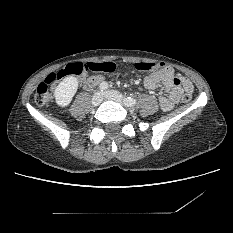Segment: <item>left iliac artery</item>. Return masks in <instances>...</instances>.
Instances as JSON below:
<instances>
[{"label": "left iliac artery", "mask_w": 233, "mask_h": 233, "mask_svg": "<svg viewBox=\"0 0 233 233\" xmlns=\"http://www.w3.org/2000/svg\"><path fill=\"white\" fill-rule=\"evenodd\" d=\"M124 102L127 106H134L136 104V100L132 97H126Z\"/></svg>", "instance_id": "44dca946"}]
</instances>
